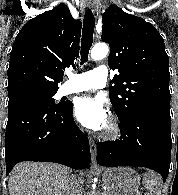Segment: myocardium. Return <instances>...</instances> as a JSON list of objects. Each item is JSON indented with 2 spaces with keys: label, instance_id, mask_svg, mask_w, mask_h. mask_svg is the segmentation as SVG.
I'll return each instance as SVG.
<instances>
[{
  "label": "myocardium",
  "instance_id": "f54148a6",
  "mask_svg": "<svg viewBox=\"0 0 178 195\" xmlns=\"http://www.w3.org/2000/svg\"><path fill=\"white\" fill-rule=\"evenodd\" d=\"M120 134L121 127L119 125V122L115 116H112L110 118V121L106 125L101 137L106 141H114L120 136Z\"/></svg>",
  "mask_w": 178,
  "mask_h": 195
}]
</instances>
